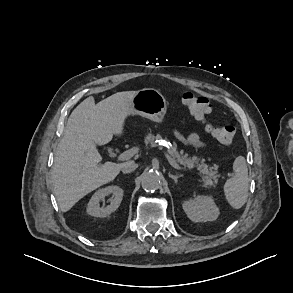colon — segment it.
Segmentation results:
<instances>
[{
    "label": "colon",
    "mask_w": 293,
    "mask_h": 293,
    "mask_svg": "<svg viewBox=\"0 0 293 293\" xmlns=\"http://www.w3.org/2000/svg\"><path fill=\"white\" fill-rule=\"evenodd\" d=\"M182 103L197 120L206 123L207 117L212 113V106L209 100L203 96L193 93H185ZM206 129L222 144H229L236 135L235 127L231 125L211 126L206 124Z\"/></svg>",
    "instance_id": "5ec220e1"
}]
</instances>
